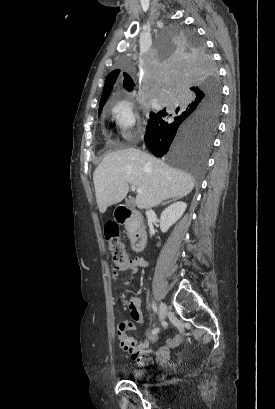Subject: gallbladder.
I'll use <instances>...</instances> for the list:
<instances>
[{
  "label": "gallbladder",
  "instance_id": "obj_1",
  "mask_svg": "<svg viewBox=\"0 0 275 409\" xmlns=\"http://www.w3.org/2000/svg\"><path fill=\"white\" fill-rule=\"evenodd\" d=\"M126 205H127V207H130V205H131V200H127Z\"/></svg>",
  "mask_w": 275,
  "mask_h": 409
}]
</instances>
